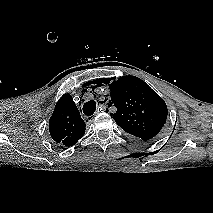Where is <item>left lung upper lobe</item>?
Instances as JSON below:
<instances>
[{
    "mask_svg": "<svg viewBox=\"0 0 213 213\" xmlns=\"http://www.w3.org/2000/svg\"><path fill=\"white\" fill-rule=\"evenodd\" d=\"M104 82L109 83L111 90L110 104L117 108L112 114L115 122L138 140L154 138L167 119L168 109L164 100L135 76H123L116 81L106 79Z\"/></svg>",
    "mask_w": 213,
    "mask_h": 213,
    "instance_id": "1",
    "label": "left lung upper lobe"
}]
</instances>
